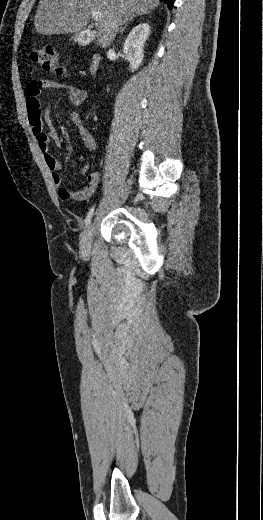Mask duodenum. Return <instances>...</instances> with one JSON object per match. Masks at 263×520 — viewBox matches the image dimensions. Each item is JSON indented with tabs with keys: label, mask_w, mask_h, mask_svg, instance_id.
Returning <instances> with one entry per match:
<instances>
[{
	"label": "duodenum",
	"mask_w": 263,
	"mask_h": 520,
	"mask_svg": "<svg viewBox=\"0 0 263 520\" xmlns=\"http://www.w3.org/2000/svg\"><path fill=\"white\" fill-rule=\"evenodd\" d=\"M99 63H100V56L98 54H94L91 59L90 66H89V71L91 74L96 73V71L99 67Z\"/></svg>",
	"instance_id": "duodenum-1"
}]
</instances>
